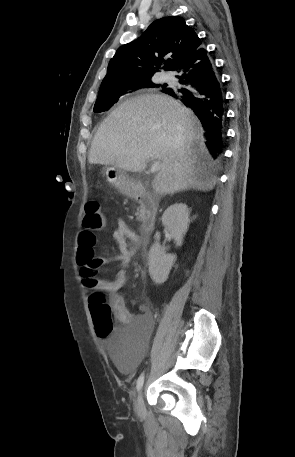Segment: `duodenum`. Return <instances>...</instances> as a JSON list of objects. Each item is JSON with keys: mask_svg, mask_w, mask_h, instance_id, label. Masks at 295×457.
<instances>
[{"mask_svg": "<svg viewBox=\"0 0 295 457\" xmlns=\"http://www.w3.org/2000/svg\"><path fill=\"white\" fill-rule=\"evenodd\" d=\"M131 196L141 206L142 216L139 236L142 244L147 245L149 238L155 228L157 215L156 203L148 191L142 187H135L131 192Z\"/></svg>", "mask_w": 295, "mask_h": 457, "instance_id": "obj_1", "label": "duodenum"}]
</instances>
